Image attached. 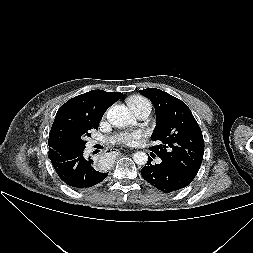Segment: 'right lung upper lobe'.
I'll use <instances>...</instances> for the list:
<instances>
[{
    "mask_svg": "<svg viewBox=\"0 0 253 253\" xmlns=\"http://www.w3.org/2000/svg\"><path fill=\"white\" fill-rule=\"evenodd\" d=\"M122 96L120 92L92 90L63 104L49 134V155H65L81 149L91 129H98L105 111Z\"/></svg>",
    "mask_w": 253,
    "mask_h": 253,
    "instance_id": "1",
    "label": "right lung upper lobe"
}]
</instances>
